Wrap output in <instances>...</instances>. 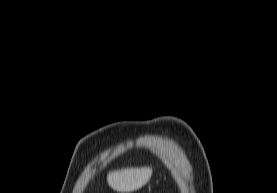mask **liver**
I'll return each instance as SVG.
<instances>
[{
    "instance_id": "1",
    "label": "liver",
    "mask_w": 277,
    "mask_h": 193,
    "mask_svg": "<svg viewBox=\"0 0 277 193\" xmlns=\"http://www.w3.org/2000/svg\"><path fill=\"white\" fill-rule=\"evenodd\" d=\"M152 175V168H125L107 175L109 186L117 192H133L143 187Z\"/></svg>"
}]
</instances>
